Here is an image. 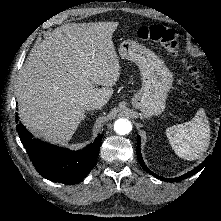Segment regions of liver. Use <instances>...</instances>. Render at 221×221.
I'll use <instances>...</instances> for the list:
<instances>
[{
    "instance_id": "obj_1",
    "label": "liver",
    "mask_w": 221,
    "mask_h": 221,
    "mask_svg": "<svg viewBox=\"0 0 221 221\" xmlns=\"http://www.w3.org/2000/svg\"><path fill=\"white\" fill-rule=\"evenodd\" d=\"M117 27L118 22L65 24L31 50L16 90L20 120L30 131L64 144L83 119L86 102L109 101L121 72L112 41Z\"/></svg>"
}]
</instances>
